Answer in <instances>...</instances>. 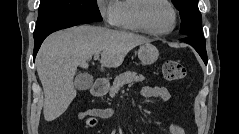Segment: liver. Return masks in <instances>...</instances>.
Returning <instances> with one entry per match:
<instances>
[{"mask_svg": "<svg viewBox=\"0 0 239 134\" xmlns=\"http://www.w3.org/2000/svg\"><path fill=\"white\" fill-rule=\"evenodd\" d=\"M149 42L138 34L89 25L51 34L36 57L45 96L44 119L53 121L61 116L76 97L73 79L78 66L88 68V60L101 53L102 66L117 68L130 50Z\"/></svg>", "mask_w": 239, "mask_h": 134, "instance_id": "1", "label": "liver"}]
</instances>
